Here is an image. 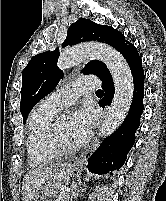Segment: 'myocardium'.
I'll return each mask as SVG.
<instances>
[{
  "instance_id": "myocardium-1",
  "label": "myocardium",
  "mask_w": 166,
  "mask_h": 201,
  "mask_svg": "<svg viewBox=\"0 0 166 201\" xmlns=\"http://www.w3.org/2000/svg\"><path fill=\"white\" fill-rule=\"evenodd\" d=\"M56 120L53 119L48 127L47 142L58 156H70L76 153L79 147H67L61 143L57 133Z\"/></svg>"
}]
</instances>
